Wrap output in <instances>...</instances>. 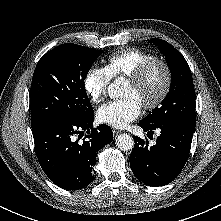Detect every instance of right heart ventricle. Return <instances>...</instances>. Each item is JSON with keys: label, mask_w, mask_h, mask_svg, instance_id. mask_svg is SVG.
Listing matches in <instances>:
<instances>
[{"label": "right heart ventricle", "mask_w": 221, "mask_h": 221, "mask_svg": "<svg viewBox=\"0 0 221 221\" xmlns=\"http://www.w3.org/2000/svg\"><path fill=\"white\" fill-rule=\"evenodd\" d=\"M155 58L149 51L129 48L112 53L108 59V70L113 78H129L142 64Z\"/></svg>", "instance_id": "right-heart-ventricle-1"}]
</instances>
